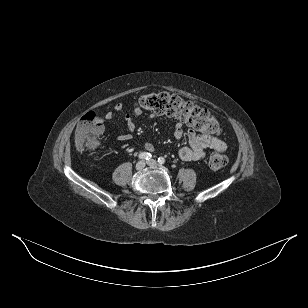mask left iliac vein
Masks as SVG:
<instances>
[{"label": "left iliac vein", "mask_w": 308, "mask_h": 308, "mask_svg": "<svg viewBox=\"0 0 308 308\" xmlns=\"http://www.w3.org/2000/svg\"><path fill=\"white\" fill-rule=\"evenodd\" d=\"M147 164H148L149 166H156V165H157V161L154 160V159H151V160H149V161L147 162Z\"/></svg>", "instance_id": "left-iliac-vein-1"}]
</instances>
